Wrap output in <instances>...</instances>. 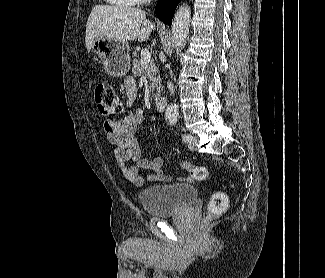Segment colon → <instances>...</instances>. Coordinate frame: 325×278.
<instances>
[{"label": "colon", "instance_id": "colon-1", "mask_svg": "<svg viewBox=\"0 0 325 278\" xmlns=\"http://www.w3.org/2000/svg\"><path fill=\"white\" fill-rule=\"evenodd\" d=\"M94 101L97 109L106 116L119 114L123 111V103L113 86L109 83H99L94 90ZM182 167L189 173L190 179L204 181L209 177V169L205 166H193L187 163ZM228 198L223 192H215L208 203L205 223L219 216L226 208Z\"/></svg>", "mask_w": 325, "mask_h": 278}]
</instances>
